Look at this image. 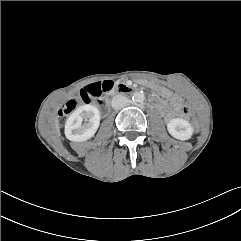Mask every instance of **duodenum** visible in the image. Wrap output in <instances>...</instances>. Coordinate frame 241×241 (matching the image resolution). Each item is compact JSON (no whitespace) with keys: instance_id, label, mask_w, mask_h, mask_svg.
Masks as SVG:
<instances>
[{"instance_id":"410a0bca","label":"duodenum","mask_w":241,"mask_h":241,"mask_svg":"<svg viewBox=\"0 0 241 241\" xmlns=\"http://www.w3.org/2000/svg\"><path fill=\"white\" fill-rule=\"evenodd\" d=\"M112 90V93H127L130 91V87L125 83H120L110 87L108 91Z\"/></svg>"}]
</instances>
